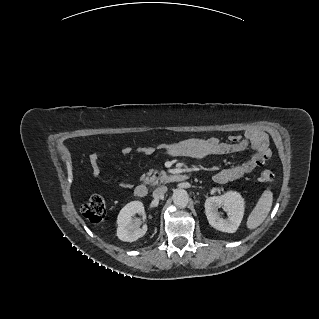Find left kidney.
Segmentation results:
<instances>
[{"label": "left kidney", "instance_id": "5707ae66", "mask_svg": "<svg viewBox=\"0 0 319 319\" xmlns=\"http://www.w3.org/2000/svg\"><path fill=\"white\" fill-rule=\"evenodd\" d=\"M204 207L207 220L213 228L226 233L237 231L244 215V199L238 192L228 191L221 196L209 197ZM221 207L227 212V219L218 211Z\"/></svg>", "mask_w": 319, "mask_h": 319}]
</instances>
